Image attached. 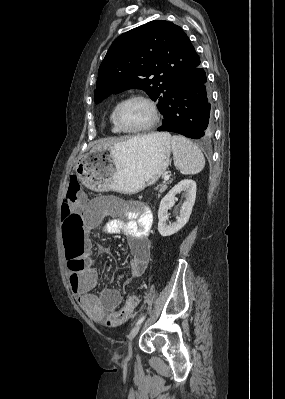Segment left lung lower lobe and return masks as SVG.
<instances>
[{
    "mask_svg": "<svg viewBox=\"0 0 285 399\" xmlns=\"http://www.w3.org/2000/svg\"><path fill=\"white\" fill-rule=\"evenodd\" d=\"M206 73L200 60L175 83L158 131L175 132L192 139L212 136L211 101Z\"/></svg>",
    "mask_w": 285,
    "mask_h": 399,
    "instance_id": "1",
    "label": "left lung lower lobe"
}]
</instances>
